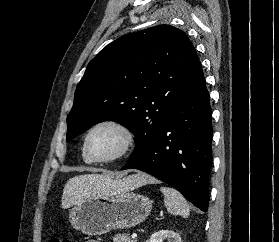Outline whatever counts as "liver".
Masks as SVG:
<instances>
[{"instance_id":"liver-1","label":"liver","mask_w":279,"mask_h":242,"mask_svg":"<svg viewBox=\"0 0 279 242\" xmlns=\"http://www.w3.org/2000/svg\"><path fill=\"white\" fill-rule=\"evenodd\" d=\"M155 180L148 175H133L123 180H113L108 175L85 174L67 181L63 189L62 208H69L91 196L105 195L116 189L132 190Z\"/></svg>"}]
</instances>
